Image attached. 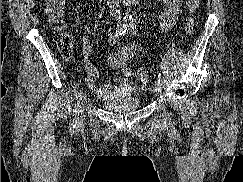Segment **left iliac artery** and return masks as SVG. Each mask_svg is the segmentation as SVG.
<instances>
[{
	"label": "left iliac artery",
	"mask_w": 243,
	"mask_h": 182,
	"mask_svg": "<svg viewBox=\"0 0 243 182\" xmlns=\"http://www.w3.org/2000/svg\"><path fill=\"white\" fill-rule=\"evenodd\" d=\"M128 28L132 34H135V35L137 34L138 30H137L135 23H133V22L129 23ZM158 81L162 85L163 80L161 77V73L158 74Z\"/></svg>",
	"instance_id": "1"
}]
</instances>
